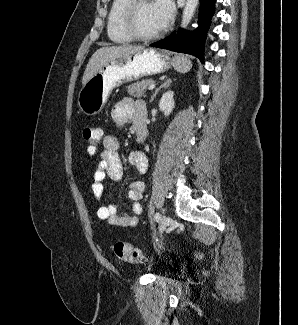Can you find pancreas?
Segmentation results:
<instances>
[{
	"mask_svg": "<svg viewBox=\"0 0 298 325\" xmlns=\"http://www.w3.org/2000/svg\"><path fill=\"white\" fill-rule=\"evenodd\" d=\"M153 78H142L139 82H133L126 86V90L130 96H135V98H141V96H146L147 86L153 84Z\"/></svg>",
	"mask_w": 298,
	"mask_h": 325,
	"instance_id": "cf45deb5",
	"label": "pancreas"
}]
</instances>
